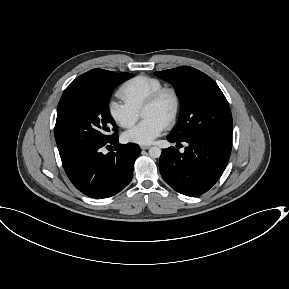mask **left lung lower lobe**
Instances as JSON below:
<instances>
[{
  "label": "left lung lower lobe",
  "mask_w": 289,
  "mask_h": 289,
  "mask_svg": "<svg viewBox=\"0 0 289 289\" xmlns=\"http://www.w3.org/2000/svg\"><path fill=\"white\" fill-rule=\"evenodd\" d=\"M169 142H187L184 153L169 147L162 150L159 168L163 179L177 192L198 196L208 191L220 178L231 154V139L191 136Z\"/></svg>",
  "instance_id": "1"
}]
</instances>
